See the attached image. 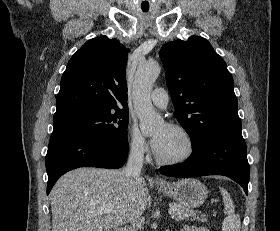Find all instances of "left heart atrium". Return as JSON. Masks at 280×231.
<instances>
[{"mask_svg": "<svg viewBox=\"0 0 280 231\" xmlns=\"http://www.w3.org/2000/svg\"><path fill=\"white\" fill-rule=\"evenodd\" d=\"M169 128V126H164V128L159 133L153 136L151 143L156 153H160L164 148L168 139Z\"/></svg>", "mask_w": 280, "mask_h": 231, "instance_id": "39dd6f15", "label": "left heart atrium"}]
</instances>
